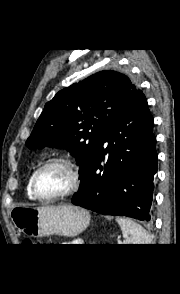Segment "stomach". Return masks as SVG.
Segmentation results:
<instances>
[{
    "mask_svg": "<svg viewBox=\"0 0 180 294\" xmlns=\"http://www.w3.org/2000/svg\"><path fill=\"white\" fill-rule=\"evenodd\" d=\"M11 219L19 231L38 238L53 234L74 237L90 222L87 210L74 205L18 206L12 209Z\"/></svg>",
    "mask_w": 180,
    "mask_h": 294,
    "instance_id": "stomach-1",
    "label": "stomach"
}]
</instances>
